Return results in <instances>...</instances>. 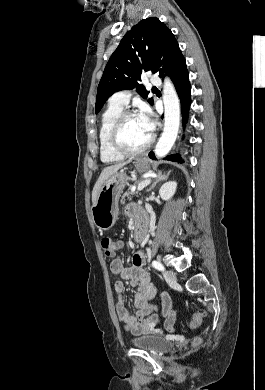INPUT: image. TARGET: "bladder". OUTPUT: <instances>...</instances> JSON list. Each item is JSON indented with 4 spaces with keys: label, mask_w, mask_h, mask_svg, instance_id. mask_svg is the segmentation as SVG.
Returning a JSON list of instances; mask_svg holds the SVG:
<instances>
[{
    "label": "bladder",
    "mask_w": 265,
    "mask_h": 390,
    "mask_svg": "<svg viewBox=\"0 0 265 390\" xmlns=\"http://www.w3.org/2000/svg\"><path fill=\"white\" fill-rule=\"evenodd\" d=\"M132 344L150 353L160 354L171 349L172 343L158 335H141L132 339Z\"/></svg>",
    "instance_id": "obj_1"
}]
</instances>
